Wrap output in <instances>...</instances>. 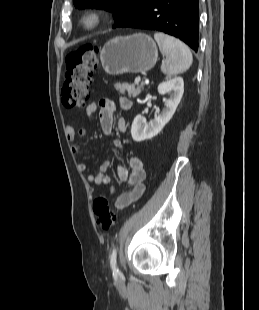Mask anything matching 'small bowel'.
Instances as JSON below:
<instances>
[{"label":"small bowel","instance_id":"1","mask_svg":"<svg viewBox=\"0 0 259 310\" xmlns=\"http://www.w3.org/2000/svg\"><path fill=\"white\" fill-rule=\"evenodd\" d=\"M119 105L121 109L128 110L131 108V101L126 97L119 99ZM116 105L114 101L108 98H102L98 102H91L86 108V114L89 117H94L98 114L100 126L104 134L110 135L116 128L121 132H125L127 125L123 118H116ZM86 130L84 128H76L72 125H68L66 128V137L69 141H74L77 138H81L85 135ZM113 146L116 149H121L122 144L119 140L113 141ZM73 152L78 153L81 150L79 145L72 147ZM110 165V160H105L99 167L97 172L89 173L87 175V181L93 184H107L110 185V192L114 193L115 188L111 185L110 177L106 174L107 168ZM87 164L81 161L78 164L80 171H85ZM117 178L121 182H126L131 190L121 194L115 202V207L118 210H123L133 202L142 197L145 192V179L146 171L144 168L143 160L139 156H131L128 160V167L118 165L116 168Z\"/></svg>","mask_w":259,"mask_h":310}]
</instances>
